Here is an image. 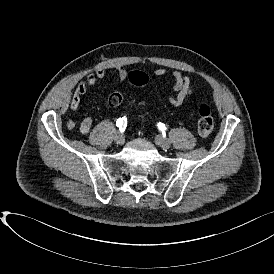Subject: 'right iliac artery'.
<instances>
[{
	"instance_id": "82829eb1",
	"label": "right iliac artery",
	"mask_w": 274,
	"mask_h": 274,
	"mask_svg": "<svg viewBox=\"0 0 274 274\" xmlns=\"http://www.w3.org/2000/svg\"><path fill=\"white\" fill-rule=\"evenodd\" d=\"M116 125H117V127H119V130L121 133L124 132V130L126 129V126H127V119L125 117L119 118L116 121Z\"/></svg>"
}]
</instances>
